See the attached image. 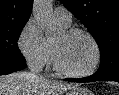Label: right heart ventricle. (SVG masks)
I'll use <instances>...</instances> for the list:
<instances>
[{"label":"right heart ventricle","mask_w":119,"mask_h":95,"mask_svg":"<svg viewBox=\"0 0 119 95\" xmlns=\"http://www.w3.org/2000/svg\"><path fill=\"white\" fill-rule=\"evenodd\" d=\"M65 27H68L66 25H64ZM51 45V56H50V59H49V62L50 63H53V59H54V54H53V47H54V44L53 43H50Z\"/></svg>","instance_id":"1"}]
</instances>
